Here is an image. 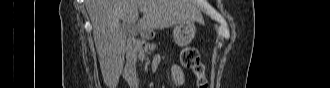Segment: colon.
I'll list each match as a JSON object with an SVG mask.
<instances>
[{
  "mask_svg": "<svg viewBox=\"0 0 330 88\" xmlns=\"http://www.w3.org/2000/svg\"><path fill=\"white\" fill-rule=\"evenodd\" d=\"M182 65L189 69L196 77L197 88H208L205 66L201 62L200 54L194 47H186L181 53Z\"/></svg>",
  "mask_w": 330,
  "mask_h": 88,
  "instance_id": "colon-1",
  "label": "colon"
}]
</instances>
